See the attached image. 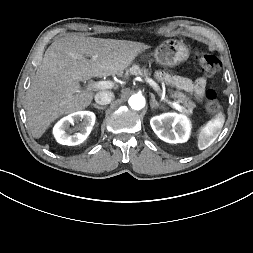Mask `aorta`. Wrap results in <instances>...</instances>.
Instances as JSON below:
<instances>
[{"label":"aorta","instance_id":"1","mask_svg":"<svg viewBox=\"0 0 253 253\" xmlns=\"http://www.w3.org/2000/svg\"><path fill=\"white\" fill-rule=\"evenodd\" d=\"M129 105L134 110H141L145 106V98L140 94L132 95L129 98Z\"/></svg>","mask_w":253,"mask_h":253}]
</instances>
